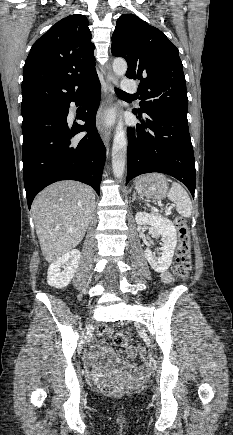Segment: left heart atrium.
<instances>
[{
    "instance_id": "obj_1",
    "label": "left heart atrium",
    "mask_w": 233,
    "mask_h": 435,
    "mask_svg": "<svg viewBox=\"0 0 233 435\" xmlns=\"http://www.w3.org/2000/svg\"><path fill=\"white\" fill-rule=\"evenodd\" d=\"M111 121V118L109 116L106 117L105 122L109 123Z\"/></svg>"
}]
</instances>
